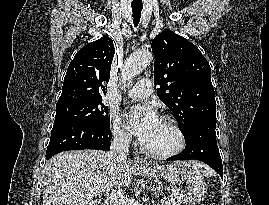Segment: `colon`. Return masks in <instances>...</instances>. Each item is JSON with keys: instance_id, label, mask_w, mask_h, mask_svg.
Segmentation results:
<instances>
[{"instance_id": "colon-1", "label": "colon", "mask_w": 269, "mask_h": 205, "mask_svg": "<svg viewBox=\"0 0 269 205\" xmlns=\"http://www.w3.org/2000/svg\"><path fill=\"white\" fill-rule=\"evenodd\" d=\"M192 205H202V204H192Z\"/></svg>"}]
</instances>
